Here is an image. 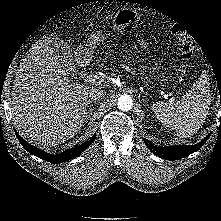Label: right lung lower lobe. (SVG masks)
I'll use <instances>...</instances> for the list:
<instances>
[{
  "mask_svg": "<svg viewBox=\"0 0 221 221\" xmlns=\"http://www.w3.org/2000/svg\"><path fill=\"white\" fill-rule=\"evenodd\" d=\"M15 134L19 140V142L22 144V146L32 155H35L43 160H46L48 162L54 163V164H58V163H62L68 160H71L75 157H77L79 154H81L86 148H88L89 145L92 144V142L95 139V135L88 140L87 142L72 148V149H68L66 151H63L62 153L59 154H49L37 147H34L32 145H30L28 142H26L16 131Z\"/></svg>",
  "mask_w": 221,
  "mask_h": 221,
  "instance_id": "right-lung-lower-lobe-1",
  "label": "right lung lower lobe"
}]
</instances>
